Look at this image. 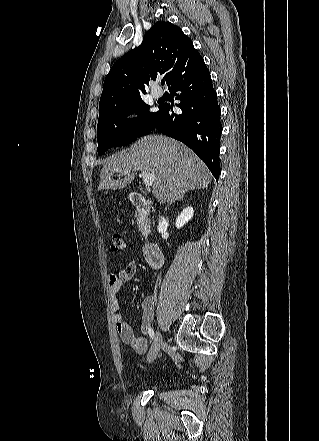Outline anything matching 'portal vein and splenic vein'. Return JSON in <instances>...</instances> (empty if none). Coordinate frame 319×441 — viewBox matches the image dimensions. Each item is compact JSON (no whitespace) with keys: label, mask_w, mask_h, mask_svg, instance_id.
<instances>
[{"label":"portal vein and splenic vein","mask_w":319,"mask_h":441,"mask_svg":"<svg viewBox=\"0 0 319 441\" xmlns=\"http://www.w3.org/2000/svg\"><path fill=\"white\" fill-rule=\"evenodd\" d=\"M127 173H128L127 171L124 172V174H127ZM140 177L143 178L145 185L148 187L152 186V184L155 180V175L153 173H150L147 171H142V173L140 174Z\"/></svg>","instance_id":"portal-vein-and-splenic-vein-1"}]
</instances>
